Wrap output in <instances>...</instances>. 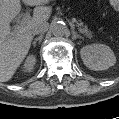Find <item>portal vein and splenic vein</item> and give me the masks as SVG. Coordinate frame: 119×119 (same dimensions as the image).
Here are the masks:
<instances>
[{"label": "portal vein and splenic vein", "instance_id": "1", "mask_svg": "<svg viewBox=\"0 0 119 119\" xmlns=\"http://www.w3.org/2000/svg\"><path fill=\"white\" fill-rule=\"evenodd\" d=\"M32 18L29 15H26L22 21L19 23L20 29L23 28L25 25L31 23Z\"/></svg>", "mask_w": 119, "mask_h": 119}]
</instances>
